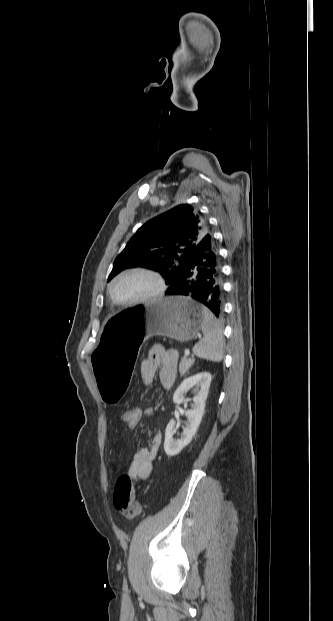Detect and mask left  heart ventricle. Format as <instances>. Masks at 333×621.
Returning <instances> with one entry per match:
<instances>
[{
    "label": "left heart ventricle",
    "mask_w": 333,
    "mask_h": 621,
    "mask_svg": "<svg viewBox=\"0 0 333 621\" xmlns=\"http://www.w3.org/2000/svg\"><path fill=\"white\" fill-rule=\"evenodd\" d=\"M156 289L155 281L143 274L126 275L115 282L113 294L119 301H131L149 295Z\"/></svg>",
    "instance_id": "obj_1"
}]
</instances>
